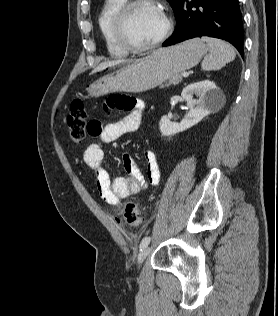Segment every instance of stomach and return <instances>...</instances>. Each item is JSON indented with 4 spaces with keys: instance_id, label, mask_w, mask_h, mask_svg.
<instances>
[{
    "instance_id": "stomach-1",
    "label": "stomach",
    "mask_w": 278,
    "mask_h": 316,
    "mask_svg": "<svg viewBox=\"0 0 278 316\" xmlns=\"http://www.w3.org/2000/svg\"><path fill=\"white\" fill-rule=\"evenodd\" d=\"M207 51L205 43L197 38L168 48H159L99 78L87 91L91 96L111 92H144L196 66Z\"/></svg>"
}]
</instances>
